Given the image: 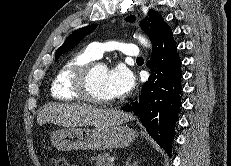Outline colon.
Instances as JSON below:
<instances>
[{"instance_id":"colon-1","label":"colon","mask_w":231,"mask_h":166,"mask_svg":"<svg viewBox=\"0 0 231 166\" xmlns=\"http://www.w3.org/2000/svg\"><path fill=\"white\" fill-rule=\"evenodd\" d=\"M51 165L52 166H75L71 161L63 157H59V156H55L51 159Z\"/></svg>"}]
</instances>
